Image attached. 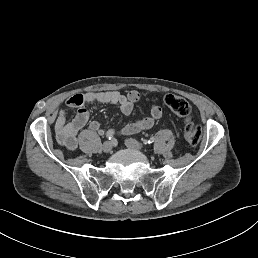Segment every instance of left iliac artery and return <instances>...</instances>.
I'll use <instances>...</instances> for the list:
<instances>
[{"instance_id":"left-iliac-artery-1","label":"left iliac artery","mask_w":258,"mask_h":258,"mask_svg":"<svg viewBox=\"0 0 258 258\" xmlns=\"http://www.w3.org/2000/svg\"><path fill=\"white\" fill-rule=\"evenodd\" d=\"M155 141L154 137H151L145 144H152Z\"/></svg>"}]
</instances>
